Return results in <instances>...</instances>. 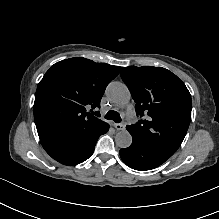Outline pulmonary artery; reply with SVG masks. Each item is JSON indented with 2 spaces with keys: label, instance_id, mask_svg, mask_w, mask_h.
Here are the masks:
<instances>
[{
  "label": "pulmonary artery",
  "instance_id": "e3ab8cb5",
  "mask_svg": "<svg viewBox=\"0 0 219 219\" xmlns=\"http://www.w3.org/2000/svg\"><path fill=\"white\" fill-rule=\"evenodd\" d=\"M125 116L128 118V121L131 124H136L139 121V116L136 114V111L133 108H128L125 111Z\"/></svg>",
  "mask_w": 219,
  "mask_h": 219
}]
</instances>
